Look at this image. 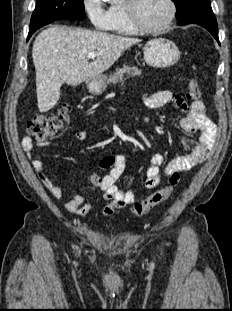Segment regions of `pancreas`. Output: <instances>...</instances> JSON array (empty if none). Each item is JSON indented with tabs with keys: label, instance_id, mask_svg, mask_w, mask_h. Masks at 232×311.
Listing matches in <instances>:
<instances>
[{
	"label": "pancreas",
	"instance_id": "pancreas-1",
	"mask_svg": "<svg viewBox=\"0 0 232 311\" xmlns=\"http://www.w3.org/2000/svg\"><path fill=\"white\" fill-rule=\"evenodd\" d=\"M141 73L142 71L139 68L125 64L122 68L116 69V71L106 79V83H116L122 80L125 74L126 76H136L141 75ZM104 88L106 89V86H104Z\"/></svg>",
	"mask_w": 232,
	"mask_h": 311
}]
</instances>
